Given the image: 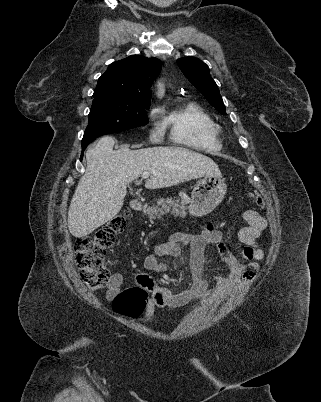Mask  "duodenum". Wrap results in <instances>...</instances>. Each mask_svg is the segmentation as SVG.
<instances>
[{
  "instance_id": "410a0bca",
  "label": "duodenum",
  "mask_w": 321,
  "mask_h": 402,
  "mask_svg": "<svg viewBox=\"0 0 321 402\" xmlns=\"http://www.w3.org/2000/svg\"><path fill=\"white\" fill-rule=\"evenodd\" d=\"M130 206H131L132 210L140 211L143 209V202L138 199H134L131 201Z\"/></svg>"
}]
</instances>
